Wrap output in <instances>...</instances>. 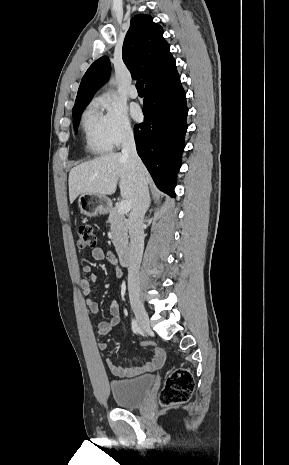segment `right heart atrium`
<instances>
[{
  "mask_svg": "<svg viewBox=\"0 0 289 465\" xmlns=\"http://www.w3.org/2000/svg\"><path fill=\"white\" fill-rule=\"evenodd\" d=\"M96 103L103 110L104 129L112 147H119L133 137V127L126 108L108 95H101Z\"/></svg>",
  "mask_w": 289,
  "mask_h": 465,
  "instance_id": "right-heart-atrium-1",
  "label": "right heart atrium"
}]
</instances>
